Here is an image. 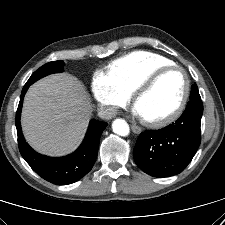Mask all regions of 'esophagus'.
<instances>
[{"label": "esophagus", "instance_id": "34e87169", "mask_svg": "<svg viewBox=\"0 0 225 225\" xmlns=\"http://www.w3.org/2000/svg\"><path fill=\"white\" fill-rule=\"evenodd\" d=\"M132 128V131L135 133V134H140L141 133V128L137 125H132L131 126Z\"/></svg>", "mask_w": 225, "mask_h": 225}]
</instances>
